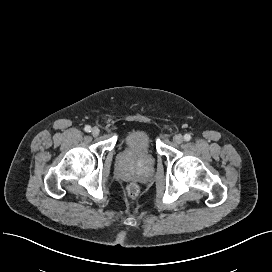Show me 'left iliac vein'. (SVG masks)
Here are the masks:
<instances>
[{
    "label": "left iliac vein",
    "mask_w": 272,
    "mask_h": 272,
    "mask_svg": "<svg viewBox=\"0 0 272 272\" xmlns=\"http://www.w3.org/2000/svg\"><path fill=\"white\" fill-rule=\"evenodd\" d=\"M184 138L181 134H176L174 137H173V141L176 143V144H181L183 142Z\"/></svg>",
    "instance_id": "obj_1"
}]
</instances>
